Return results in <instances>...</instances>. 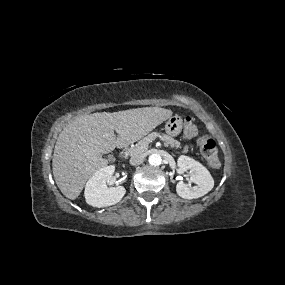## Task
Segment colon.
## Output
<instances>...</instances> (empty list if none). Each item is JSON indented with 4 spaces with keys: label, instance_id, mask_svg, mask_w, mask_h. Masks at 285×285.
<instances>
[{
    "label": "colon",
    "instance_id": "1",
    "mask_svg": "<svg viewBox=\"0 0 285 285\" xmlns=\"http://www.w3.org/2000/svg\"><path fill=\"white\" fill-rule=\"evenodd\" d=\"M184 137L191 139L195 137L198 133L197 126L195 125L193 118L191 116H186L184 118ZM198 144L201 148L203 156L208 161V164L213 170H218L220 168V160L217 152V145L214 139L209 135L203 134L198 138Z\"/></svg>",
    "mask_w": 285,
    "mask_h": 285
}]
</instances>
